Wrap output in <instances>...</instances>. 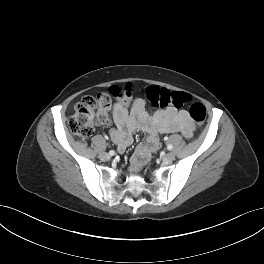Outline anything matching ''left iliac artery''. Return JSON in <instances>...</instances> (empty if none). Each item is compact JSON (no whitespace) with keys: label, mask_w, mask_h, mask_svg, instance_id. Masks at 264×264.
<instances>
[{"label":"left iliac artery","mask_w":264,"mask_h":264,"mask_svg":"<svg viewBox=\"0 0 264 264\" xmlns=\"http://www.w3.org/2000/svg\"><path fill=\"white\" fill-rule=\"evenodd\" d=\"M167 139H168V137H165V140H167ZM172 148H173V146L171 144H168L167 149L172 150Z\"/></svg>","instance_id":"obj_1"}]
</instances>
